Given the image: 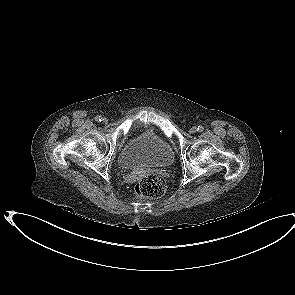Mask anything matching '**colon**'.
I'll return each mask as SVG.
<instances>
[{"mask_svg":"<svg viewBox=\"0 0 295 295\" xmlns=\"http://www.w3.org/2000/svg\"><path fill=\"white\" fill-rule=\"evenodd\" d=\"M165 191V180L157 174L143 176L135 188L136 195L141 199L159 198Z\"/></svg>","mask_w":295,"mask_h":295,"instance_id":"obj_1","label":"colon"}]
</instances>
